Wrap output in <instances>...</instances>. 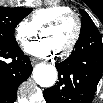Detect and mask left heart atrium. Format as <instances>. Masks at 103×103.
I'll return each mask as SVG.
<instances>
[{
    "mask_svg": "<svg viewBox=\"0 0 103 103\" xmlns=\"http://www.w3.org/2000/svg\"><path fill=\"white\" fill-rule=\"evenodd\" d=\"M24 50L26 53L40 58L51 56L57 52L52 41L46 37L27 43Z\"/></svg>",
    "mask_w": 103,
    "mask_h": 103,
    "instance_id": "1",
    "label": "left heart atrium"
}]
</instances>
